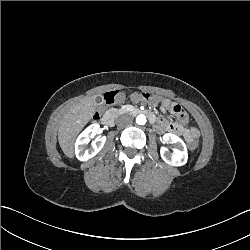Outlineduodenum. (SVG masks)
Wrapping results in <instances>:
<instances>
[{"instance_id": "duodenum-1", "label": "duodenum", "mask_w": 250, "mask_h": 250, "mask_svg": "<svg viewBox=\"0 0 250 250\" xmlns=\"http://www.w3.org/2000/svg\"><path fill=\"white\" fill-rule=\"evenodd\" d=\"M133 113L135 115L141 113V111L138 110H134ZM102 123L106 126V127H111L114 124V115L112 111L107 112L102 119Z\"/></svg>"}]
</instances>
